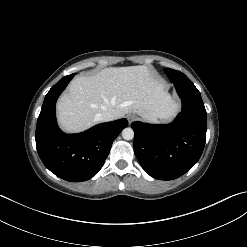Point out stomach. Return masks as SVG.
<instances>
[{
    "instance_id": "obj_1",
    "label": "stomach",
    "mask_w": 247,
    "mask_h": 247,
    "mask_svg": "<svg viewBox=\"0 0 247 247\" xmlns=\"http://www.w3.org/2000/svg\"><path fill=\"white\" fill-rule=\"evenodd\" d=\"M172 115H173V114H171L170 116L165 117V118H160V120H159V121H160V122H167V121L171 120Z\"/></svg>"
}]
</instances>
